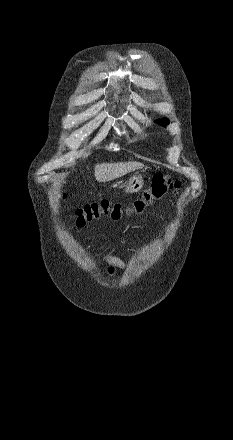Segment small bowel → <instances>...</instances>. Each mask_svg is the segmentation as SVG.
<instances>
[{"label": "small bowel", "instance_id": "small-bowel-1", "mask_svg": "<svg viewBox=\"0 0 233 440\" xmlns=\"http://www.w3.org/2000/svg\"><path fill=\"white\" fill-rule=\"evenodd\" d=\"M104 261L108 264V273L114 274L116 270L124 269L126 264L123 260L120 258L111 255V254H105L104 255Z\"/></svg>", "mask_w": 233, "mask_h": 440}]
</instances>
